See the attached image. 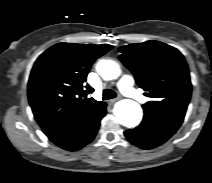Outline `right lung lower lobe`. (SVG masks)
I'll return each instance as SVG.
<instances>
[{
  "instance_id": "1",
  "label": "right lung lower lobe",
  "mask_w": 212,
  "mask_h": 183,
  "mask_svg": "<svg viewBox=\"0 0 212 183\" xmlns=\"http://www.w3.org/2000/svg\"><path fill=\"white\" fill-rule=\"evenodd\" d=\"M106 107L91 120L80 123L74 128L54 136H48L57 146L67 151H77L89 144L95 137Z\"/></svg>"
}]
</instances>
